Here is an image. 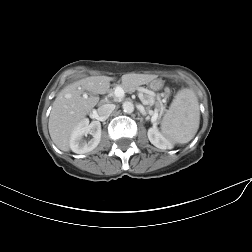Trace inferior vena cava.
<instances>
[{
	"instance_id": "obj_1",
	"label": "inferior vena cava",
	"mask_w": 252,
	"mask_h": 252,
	"mask_svg": "<svg viewBox=\"0 0 252 252\" xmlns=\"http://www.w3.org/2000/svg\"><path fill=\"white\" fill-rule=\"evenodd\" d=\"M114 109H115L114 104H103V105L99 106L98 114L101 118L107 119L110 116V114L113 112Z\"/></svg>"
}]
</instances>
